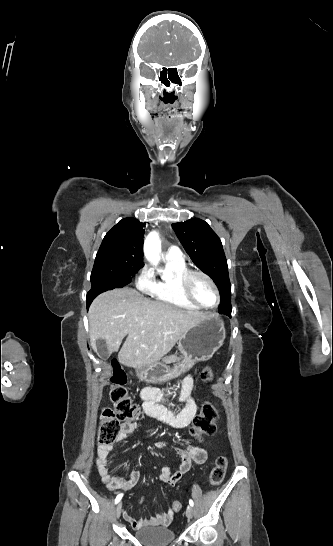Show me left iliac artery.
Here are the masks:
<instances>
[{
    "label": "left iliac artery",
    "instance_id": "44dca946",
    "mask_svg": "<svg viewBox=\"0 0 333 546\" xmlns=\"http://www.w3.org/2000/svg\"><path fill=\"white\" fill-rule=\"evenodd\" d=\"M189 504H190V506H192V507H193V505H194V502H193V500H192V499H190V500H189Z\"/></svg>",
    "mask_w": 333,
    "mask_h": 546
}]
</instances>
